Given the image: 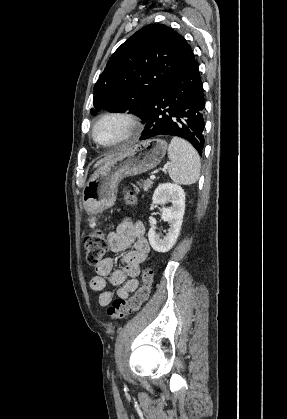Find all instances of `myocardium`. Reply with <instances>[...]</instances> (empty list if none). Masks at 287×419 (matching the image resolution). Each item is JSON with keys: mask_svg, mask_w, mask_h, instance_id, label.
Returning <instances> with one entry per match:
<instances>
[{"mask_svg": "<svg viewBox=\"0 0 287 419\" xmlns=\"http://www.w3.org/2000/svg\"><path fill=\"white\" fill-rule=\"evenodd\" d=\"M110 119H115L124 122L127 125L129 132L125 136L114 142L101 143L97 140L95 136L96 129L102 122ZM141 129L142 127L140 121L133 114L125 111H109L97 118V120L92 125L91 138L96 145L102 148H114L126 144L131 140L135 139L140 134Z\"/></svg>", "mask_w": 287, "mask_h": 419, "instance_id": "f54148a6", "label": "myocardium"}]
</instances>
